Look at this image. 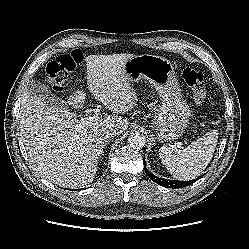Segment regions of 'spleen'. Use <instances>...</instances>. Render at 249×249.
I'll return each mask as SVG.
<instances>
[{"label": "spleen", "mask_w": 249, "mask_h": 249, "mask_svg": "<svg viewBox=\"0 0 249 249\" xmlns=\"http://www.w3.org/2000/svg\"><path fill=\"white\" fill-rule=\"evenodd\" d=\"M218 140V131L211 130L191 145L162 146L159 157L168 171L179 180H191L205 170L210 163Z\"/></svg>", "instance_id": "1"}]
</instances>
